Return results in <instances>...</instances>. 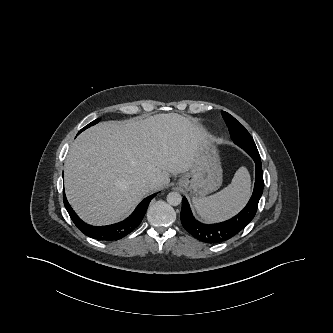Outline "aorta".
I'll return each mask as SVG.
<instances>
[{"mask_svg": "<svg viewBox=\"0 0 333 333\" xmlns=\"http://www.w3.org/2000/svg\"><path fill=\"white\" fill-rule=\"evenodd\" d=\"M182 201V196L178 192H170L167 195V202L172 205V206H177L181 203Z\"/></svg>", "mask_w": 333, "mask_h": 333, "instance_id": "obj_1", "label": "aorta"}]
</instances>
